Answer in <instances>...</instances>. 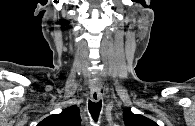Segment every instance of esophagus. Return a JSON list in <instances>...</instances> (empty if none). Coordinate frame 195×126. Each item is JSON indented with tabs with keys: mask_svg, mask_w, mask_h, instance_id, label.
<instances>
[{
	"mask_svg": "<svg viewBox=\"0 0 195 126\" xmlns=\"http://www.w3.org/2000/svg\"><path fill=\"white\" fill-rule=\"evenodd\" d=\"M103 96L101 88L93 87L90 90V97L93 102H98Z\"/></svg>",
	"mask_w": 195,
	"mask_h": 126,
	"instance_id": "obj_1",
	"label": "esophagus"
}]
</instances>
